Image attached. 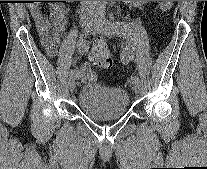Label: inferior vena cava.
I'll list each match as a JSON object with an SVG mask.
<instances>
[{"label": "inferior vena cava", "instance_id": "1", "mask_svg": "<svg viewBox=\"0 0 207 169\" xmlns=\"http://www.w3.org/2000/svg\"><path fill=\"white\" fill-rule=\"evenodd\" d=\"M85 2L86 4L90 3V4H96L95 1H83Z\"/></svg>", "mask_w": 207, "mask_h": 169}]
</instances>
